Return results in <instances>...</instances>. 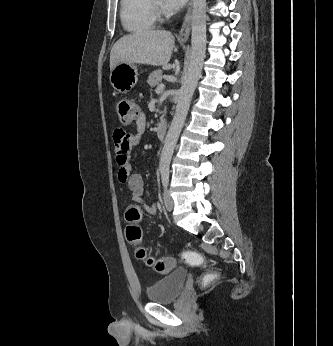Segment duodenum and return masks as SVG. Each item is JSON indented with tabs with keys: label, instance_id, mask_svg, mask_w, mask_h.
I'll return each instance as SVG.
<instances>
[{
	"label": "duodenum",
	"instance_id": "1",
	"mask_svg": "<svg viewBox=\"0 0 333 346\" xmlns=\"http://www.w3.org/2000/svg\"><path fill=\"white\" fill-rule=\"evenodd\" d=\"M167 132V123L164 120H160L157 123L156 134L159 139H163Z\"/></svg>",
	"mask_w": 333,
	"mask_h": 346
}]
</instances>
